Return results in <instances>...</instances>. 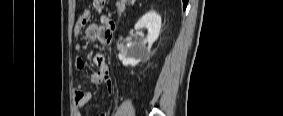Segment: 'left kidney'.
<instances>
[{"label":"left kidney","instance_id":"1","mask_svg":"<svg viewBox=\"0 0 283 116\" xmlns=\"http://www.w3.org/2000/svg\"><path fill=\"white\" fill-rule=\"evenodd\" d=\"M135 28H146L148 34L142 42L130 43L119 53L118 58L124 66H135L149 58L150 49L160 33L161 17L155 11H149L135 24Z\"/></svg>","mask_w":283,"mask_h":116}]
</instances>
